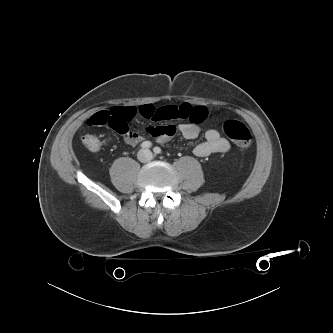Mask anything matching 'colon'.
<instances>
[{
    "instance_id": "1",
    "label": "colon",
    "mask_w": 333,
    "mask_h": 333,
    "mask_svg": "<svg viewBox=\"0 0 333 333\" xmlns=\"http://www.w3.org/2000/svg\"><path fill=\"white\" fill-rule=\"evenodd\" d=\"M136 114L134 108H129L125 111L124 121L128 123ZM98 121L101 126L109 125L112 122V117L107 112H102L98 115ZM223 131L225 135L236 145L247 148L252 143V134L245 124L238 120L230 119L224 122ZM83 145L90 151H97L101 147V140L95 134H85L82 137Z\"/></svg>"
}]
</instances>
